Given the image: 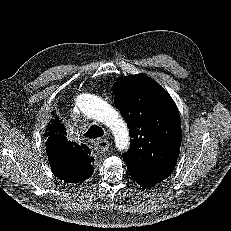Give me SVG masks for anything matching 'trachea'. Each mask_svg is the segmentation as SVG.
<instances>
[{"mask_svg": "<svg viewBox=\"0 0 231 231\" xmlns=\"http://www.w3.org/2000/svg\"><path fill=\"white\" fill-rule=\"evenodd\" d=\"M104 135V131L98 125H92L87 132L84 134L88 138H99Z\"/></svg>", "mask_w": 231, "mask_h": 231, "instance_id": "1", "label": "trachea"}]
</instances>
